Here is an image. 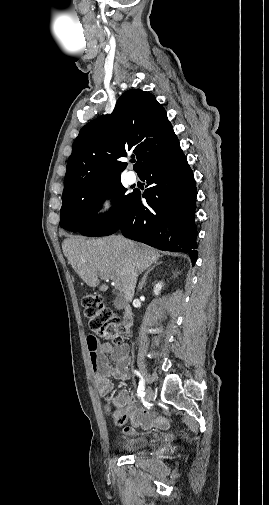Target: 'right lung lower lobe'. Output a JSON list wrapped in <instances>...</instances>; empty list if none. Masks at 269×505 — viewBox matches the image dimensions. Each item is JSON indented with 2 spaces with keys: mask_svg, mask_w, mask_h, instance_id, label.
Returning a JSON list of instances; mask_svg holds the SVG:
<instances>
[{
  "mask_svg": "<svg viewBox=\"0 0 269 505\" xmlns=\"http://www.w3.org/2000/svg\"><path fill=\"white\" fill-rule=\"evenodd\" d=\"M146 191L133 192L122 222L115 232L166 251L187 253L195 264L197 196L194 175L179 142L148 162L139 172ZM147 205H143L141 198ZM170 226L167 232L165 227ZM114 232V233H115Z\"/></svg>",
  "mask_w": 269,
  "mask_h": 505,
  "instance_id": "right-lung-lower-lobe-1",
  "label": "right lung lower lobe"
}]
</instances>
